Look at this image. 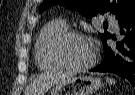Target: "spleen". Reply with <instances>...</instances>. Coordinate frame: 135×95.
<instances>
[{"label": "spleen", "instance_id": "spleen-1", "mask_svg": "<svg viewBox=\"0 0 135 95\" xmlns=\"http://www.w3.org/2000/svg\"><path fill=\"white\" fill-rule=\"evenodd\" d=\"M106 81L110 84V85H112V84H115V80H113V79H111V78H106Z\"/></svg>", "mask_w": 135, "mask_h": 95}]
</instances>
